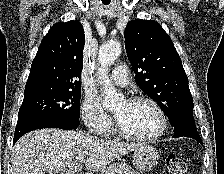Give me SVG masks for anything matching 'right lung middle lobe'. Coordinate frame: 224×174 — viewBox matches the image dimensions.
<instances>
[{
  "label": "right lung middle lobe",
  "mask_w": 224,
  "mask_h": 174,
  "mask_svg": "<svg viewBox=\"0 0 224 174\" xmlns=\"http://www.w3.org/2000/svg\"><path fill=\"white\" fill-rule=\"evenodd\" d=\"M81 89L44 90L24 95L18 122L40 120L66 123L79 121Z\"/></svg>",
  "instance_id": "dd1d6c3e"
}]
</instances>
